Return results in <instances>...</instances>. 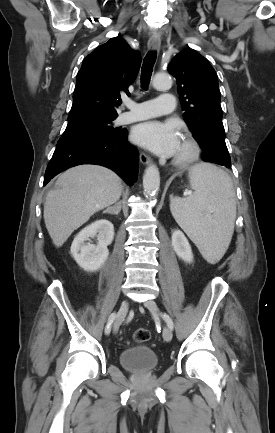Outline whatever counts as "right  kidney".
I'll use <instances>...</instances> for the list:
<instances>
[{
  "instance_id": "ca27d5eb",
  "label": "right kidney",
  "mask_w": 275,
  "mask_h": 433,
  "mask_svg": "<svg viewBox=\"0 0 275 433\" xmlns=\"http://www.w3.org/2000/svg\"><path fill=\"white\" fill-rule=\"evenodd\" d=\"M94 237H97V245L85 243ZM113 239V224L106 219L97 220L77 234L70 252L77 264L85 271H97L107 260L109 255L107 246L112 243Z\"/></svg>"
}]
</instances>
